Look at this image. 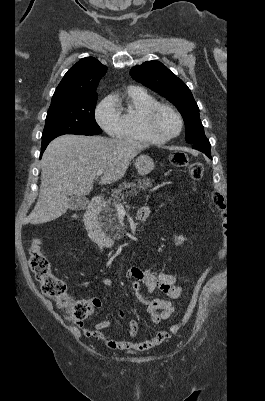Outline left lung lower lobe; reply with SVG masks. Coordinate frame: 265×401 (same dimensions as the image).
Returning a JSON list of instances; mask_svg holds the SVG:
<instances>
[{
    "instance_id": "0a47b994",
    "label": "left lung lower lobe",
    "mask_w": 265,
    "mask_h": 401,
    "mask_svg": "<svg viewBox=\"0 0 265 401\" xmlns=\"http://www.w3.org/2000/svg\"><path fill=\"white\" fill-rule=\"evenodd\" d=\"M193 148L205 153L209 157L211 155V151H210L211 145H210L208 139H205V140L200 141L198 143H194Z\"/></svg>"
}]
</instances>
